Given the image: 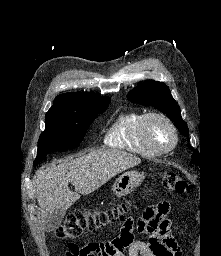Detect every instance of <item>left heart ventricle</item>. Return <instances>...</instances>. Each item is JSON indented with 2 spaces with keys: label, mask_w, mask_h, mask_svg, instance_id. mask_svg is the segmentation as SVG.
I'll return each instance as SVG.
<instances>
[{
  "label": "left heart ventricle",
  "mask_w": 221,
  "mask_h": 256,
  "mask_svg": "<svg viewBox=\"0 0 221 256\" xmlns=\"http://www.w3.org/2000/svg\"><path fill=\"white\" fill-rule=\"evenodd\" d=\"M148 136L159 148L168 147L173 141L170 128L160 119H152L148 124Z\"/></svg>",
  "instance_id": "obj_1"
}]
</instances>
